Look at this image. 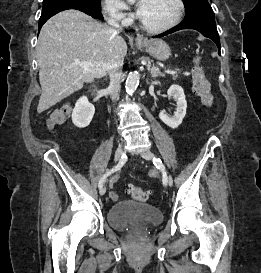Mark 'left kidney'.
<instances>
[{
    "mask_svg": "<svg viewBox=\"0 0 261 273\" xmlns=\"http://www.w3.org/2000/svg\"><path fill=\"white\" fill-rule=\"evenodd\" d=\"M168 97L173 98L176 101V112L173 117H169L164 112L159 113V118L167 126L172 129L177 128L186 115L187 101L185 99V94L179 85H172L167 91Z\"/></svg>",
    "mask_w": 261,
    "mask_h": 273,
    "instance_id": "obj_1",
    "label": "left kidney"
}]
</instances>
